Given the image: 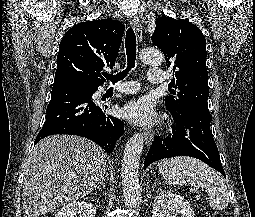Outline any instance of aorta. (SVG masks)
Listing matches in <instances>:
<instances>
[{
    "label": "aorta",
    "instance_id": "762f6f07",
    "mask_svg": "<svg viewBox=\"0 0 255 217\" xmlns=\"http://www.w3.org/2000/svg\"><path fill=\"white\" fill-rule=\"evenodd\" d=\"M140 58L146 64H161L164 57L161 51L145 48L140 51ZM144 135L134 134L126 143L121 172L124 203L127 208L137 206L139 199V160L143 150Z\"/></svg>",
    "mask_w": 255,
    "mask_h": 217
}]
</instances>
